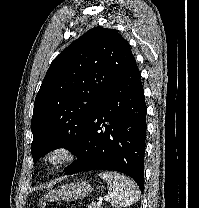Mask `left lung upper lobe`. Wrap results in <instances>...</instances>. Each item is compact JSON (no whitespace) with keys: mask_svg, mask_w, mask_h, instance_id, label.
<instances>
[{"mask_svg":"<svg viewBox=\"0 0 199 208\" xmlns=\"http://www.w3.org/2000/svg\"><path fill=\"white\" fill-rule=\"evenodd\" d=\"M134 60L121 34L102 27L90 29L54 59L34 103V162L59 146L76 151L100 99Z\"/></svg>","mask_w":199,"mask_h":208,"instance_id":"1","label":"left lung upper lobe"}]
</instances>
